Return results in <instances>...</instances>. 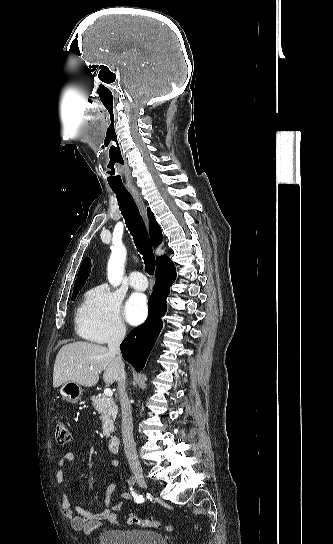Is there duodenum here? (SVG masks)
<instances>
[{
  "instance_id": "obj_1",
  "label": "duodenum",
  "mask_w": 333,
  "mask_h": 544,
  "mask_svg": "<svg viewBox=\"0 0 333 544\" xmlns=\"http://www.w3.org/2000/svg\"><path fill=\"white\" fill-rule=\"evenodd\" d=\"M108 448L112 453H118L120 451V438L116 435H113L109 438Z\"/></svg>"
}]
</instances>
